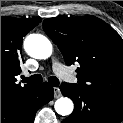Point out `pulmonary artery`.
<instances>
[{
    "label": "pulmonary artery",
    "instance_id": "pulmonary-artery-1",
    "mask_svg": "<svg viewBox=\"0 0 123 123\" xmlns=\"http://www.w3.org/2000/svg\"><path fill=\"white\" fill-rule=\"evenodd\" d=\"M52 68H53V71L59 77L65 78V79L69 78V74H68V71H67L66 67L62 63H60L59 61L54 60L53 63H52Z\"/></svg>",
    "mask_w": 123,
    "mask_h": 123
}]
</instances>
